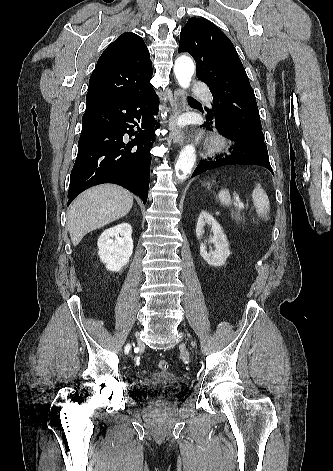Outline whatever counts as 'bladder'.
<instances>
[{
	"label": "bladder",
	"instance_id": "bladder-1",
	"mask_svg": "<svg viewBox=\"0 0 333 471\" xmlns=\"http://www.w3.org/2000/svg\"><path fill=\"white\" fill-rule=\"evenodd\" d=\"M182 388L181 379L168 371L148 374L137 384V394L146 398H170Z\"/></svg>",
	"mask_w": 333,
	"mask_h": 471
}]
</instances>
